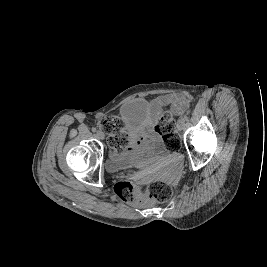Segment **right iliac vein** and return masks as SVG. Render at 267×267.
Returning a JSON list of instances; mask_svg holds the SVG:
<instances>
[{
	"label": "right iliac vein",
	"instance_id": "1",
	"mask_svg": "<svg viewBox=\"0 0 267 267\" xmlns=\"http://www.w3.org/2000/svg\"><path fill=\"white\" fill-rule=\"evenodd\" d=\"M97 137H98L99 139H104V138H105V135H104V133H103L102 131H98V132H97Z\"/></svg>",
	"mask_w": 267,
	"mask_h": 267
}]
</instances>
